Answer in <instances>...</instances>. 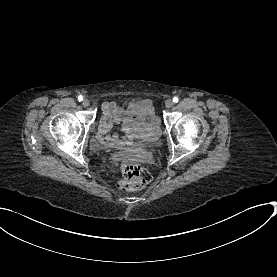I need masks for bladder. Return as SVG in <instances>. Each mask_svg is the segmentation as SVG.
<instances>
[{
    "mask_svg": "<svg viewBox=\"0 0 277 277\" xmlns=\"http://www.w3.org/2000/svg\"><path fill=\"white\" fill-rule=\"evenodd\" d=\"M161 135V131H160V127H155L154 129H152L151 132L148 133V139L149 140H157L160 138Z\"/></svg>",
    "mask_w": 277,
    "mask_h": 277,
    "instance_id": "31cf9c89",
    "label": "bladder"
}]
</instances>
